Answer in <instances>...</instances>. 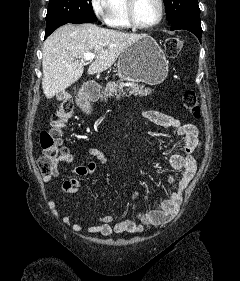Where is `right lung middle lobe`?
I'll return each mask as SVG.
<instances>
[{"label": "right lung middle lobe", "mask_w": 240, "mask_h": 281, "mask_svg": "<svg viewBox=\"0 0 240 281\" xmlns=\"http://www.w3.org/2000/svg\"><path fill=\"white\" fill-rule=\"evenodd\" d=\"M96 20L91 0H49L45 36L66 23H91Z\"/></svg>", "instance_id": "right-lung-middle-lobe-1"}]
</instances>
